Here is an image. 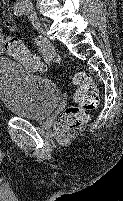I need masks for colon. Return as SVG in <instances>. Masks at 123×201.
<instances>
[{"label":"colon","mask_w":123,"mask_h":201,"mask_svg":"<svg viewBox=\"0 0 123 201\" xmlns=\"http://www.w3.org/2000/svg\"><path fill=\"white\" fill-rule=\"evenodd\" d=\"M4 52L20 61L27 69L44 71V63L38 56L31 54L26 46L15 36L6 35L3 41ZM77 86L74 106H69L59 113L55 121L57 131L65 133L87 123L89 112L99 105V93L94 82L86 72H78L73 77Z\"/></svg>","instance_id":"colon-1"}]
</instances>
